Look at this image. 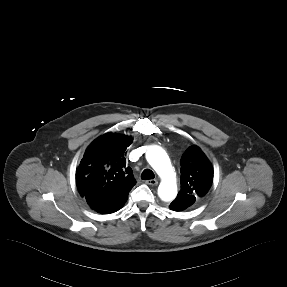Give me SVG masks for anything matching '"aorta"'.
Returning <instances> with one entry per match:
<instances>
[{"label":"aorta","mask_w":287,"mask_h":287,"mask_svg":"<svg viewBox=\"0 0 287 287\" xmlns=\"http://www.w3.org/2000/svg\"><path fill=\"white\" fill-rule=\"evenodd\" d=\"M146 159L161 178L158 196L166 202L174 200L177 196L176 177L165 150L156 145L151 146L146 153Z\"/></svg>","instance_id":"obj_1"}]
</instances>
